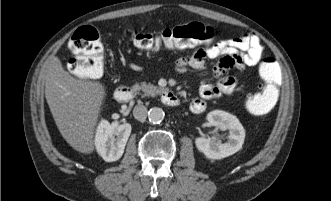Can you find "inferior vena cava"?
<instances>
[{"instance_id": "obj_1", "label": "inferior vena cava", "mask_w": 331, "mask_h": 201, "mask_svg": "<svg viewBox=\"0 0 331 201\" xmlns=\"http://www.w3.org/2000/svg\"><path fill=\"white\" fill-rule=\"evenodd\" d=\"M147 111L144 105L138 104L133 109V116L139 121H144L147 117Z\"/></svg>"}]
</instances>
